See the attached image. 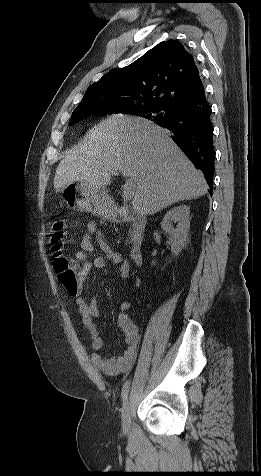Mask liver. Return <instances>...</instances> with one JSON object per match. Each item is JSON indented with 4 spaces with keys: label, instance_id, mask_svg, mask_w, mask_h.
<instances>
[{
    "label": "liver",
    "instance_id": "obj_1",
    "mask_svg": "<svg viewBox=\"0 0 261 476\" xmlns=\"http://www.w3.org/2000/svg\"><path fill=\"white\" fill-rule=\"evenodd\" d=\"M112 171L132 182V207L141 215L199 198L208 189L203 173L167 130L150 120L121 114L95 125L66 154L56 168L54 188L59 191L77 181L105 188Z\"/></svg>",
    "mask_w": 261,
    "mask_h": 476
}]
</instances>
